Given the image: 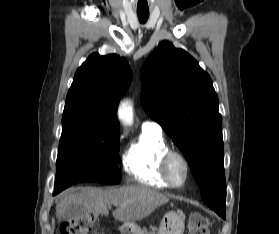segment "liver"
Listing matches in <instances>:
<instances>
[{
	"mask_svg": "<svg viewBox=\"0 0 279 234\" xmlns=\"http://www.w3.org/2000/svg\"><path fill=\"white\" fill-rule=\"evenodd\" d=\"M169 198L144 186H125L119 189L87 188L79 193H64L56 201V217L60 221L70 205H81L88 212L108 215L114 205L113 217L121 222H135L149 216Z\"/></svg>",
	"mask_w": 279,
	"mask_h": 234,
	"instance_id": "liver-1",
	"label": "liver"
}]
</instances>
